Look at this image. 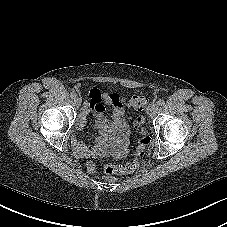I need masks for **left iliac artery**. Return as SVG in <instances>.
Here are the masks:
<instances>
[{
  "label": "left iliac artery",
  "instance_id": "obj_1",
  "mask_svg": "<svg viewBox=\"0 0 227 227\" xmlns=\"http://www.w3.org/2000/svg\"><path fill=\"white\" fill-rule=\"evenodd\" d=\"M164 103H165V101H164L163 99H160V100L157 102L158 105H163Z\"/></svg>",
  "mask_w": 227,
  "mask_h": 227
}]
</instances>
